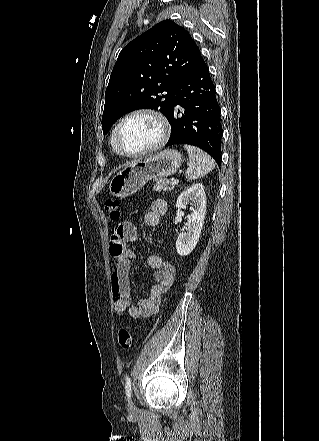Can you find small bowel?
<instances>
[{
	"label": "small bowel",
	"mask_w": 319,
	"mask_h": 441,
	"mask_svg": "<svg viewBox=\"0 0 319 441\" xmlns=\"http://www.w3.org/2000/svg\"><path fill=\"white\" fill-rule=\"evenodd\" d=\"M166 211L167 203L164 199L153 201L144 215L145 224L150 227L157 226ZM137 236L138 231L133 223L123 222L115 227L109 246L110 254L117 260L111 275V293L116 313L121 314L128 311L133 318H146L157 313L161 296L168 291L173 283L174 268L161 256L150 255L147 258V264L154 271L156 283L151 287L146 297L133 303L130 270L136 255L127 247V244L134 242Z\"/></svg>",
	"instance_id": "c3829d8e"
}]
</instances>
